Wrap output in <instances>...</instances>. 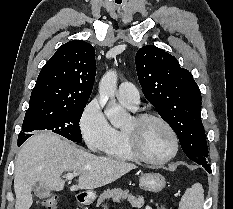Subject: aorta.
Here are the masks:
<instances>
[{"mask_svg":"<svg viewBox=\"0 0 233 209\" xmlns=\"http://www.w3.org/2000/svg\"><path fill=\"white\" fill-rule=\"evenodd\" d=\"M117 89V73L110 70L103 75L99 83L100 104L105 106V115L116 128L124 127L130 121L127 111L117 104L115 92Z\"/></svg>","mask_w":233,"mask_h":209,"instance_id":"762f6f07","label":"aorta"}]
</instances>
